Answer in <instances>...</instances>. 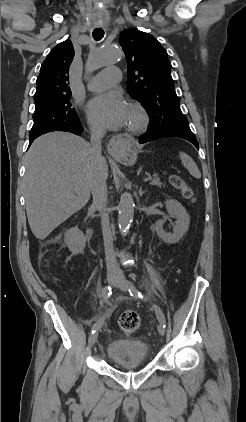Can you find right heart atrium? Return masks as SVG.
Instances as JSON below:
<instances>
[{"mask_svg": "<svg viewBox=\"0 0 246 422\" xmlns=\"http://www.w3.org/2000/svg\"><path fill=\"white\" fill-rule=\"evenodd\" d=\"M90 129H91V131H92L93 133H95V134H99V133H101V130H100L98 127L94 126V125H91V126H90Z\"/></svg>", "mask_w": 246, "mask_h": 422, "instance_id": "right-heart-atrium-1", "label": "right heart atrium"}]
</instances>
